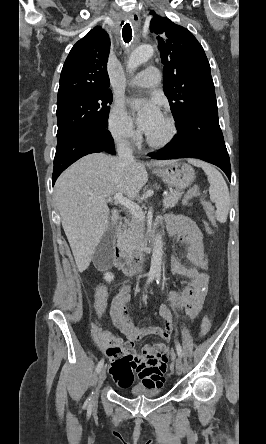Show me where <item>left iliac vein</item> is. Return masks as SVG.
<instances>
[{
	"label": "left iliac vein",
	"instance_id": "obj_1",
	"mask_svg": "<svg viewBox=\"0 0 266 444\" xmlns=\"http://www.w3.org/2000/svg\"><path fill=\"white\" fill-rule=\"evenodd\" d=\"M183 370H184L183 362H182L181 358L179 357L176 360V373L178 375H181L183 373Z\"/></svg>",
	"mask_w": 266,
	"mask_h": 444
}]
</instances>
